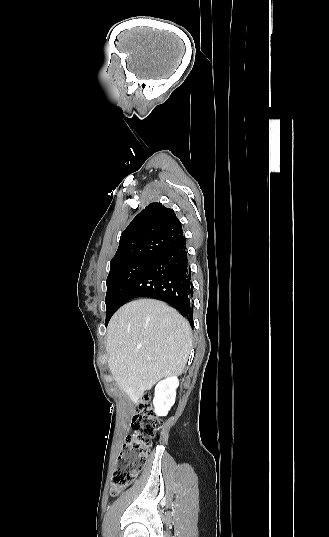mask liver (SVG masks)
<instances>
[{"label": "liver", "instance_id": "6515ba94", "mask_svg": "<svg viewBox=\"0 0 329 537\" xmlns=\"http://www.w3.org/2000/svg\"><path fill=\"white\" fill-rule=\"evenodd\" d=\"M110 372L131 401L164 377L180 375L192 346L189 322L175 309L152 299L123 305L107 328Z\"/></svg>", "mask_w": 329, "mask_h": 537}]
</instances>
